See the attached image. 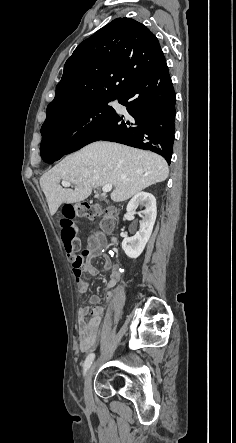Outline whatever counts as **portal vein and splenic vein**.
Returning a JSON list of instances; mask_svg holds the SVG:
<instances>
[{"mask_svg": "<svg viewBox=\"0 0 236 443\" xmlns=\"http://www.w3.org/2000/svg\"><path fill=\"white\" fill-rule=\"evenodd\" d=\"M61 184L63 187H70V185H71V183L68 181H62ZM112 188H113L112 184H106L103 186L102 191L104 193L110 192L112 190Z\"/></svg>", "mask_w": 236, "mask_h": 443, "instance_id": "portal-vein-and-splenic-vein-1", "label": "portal vein and splenic vein"}]
</instances>
